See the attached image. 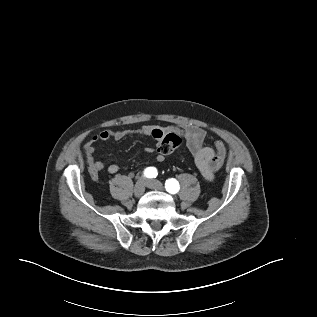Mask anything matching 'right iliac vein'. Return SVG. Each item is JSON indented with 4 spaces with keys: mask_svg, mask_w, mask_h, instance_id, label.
<instances>
[{
    "mask_svg": "<svg viewBox=\"0 0 317 317\" xmlns=\"http://www.w3.org/2000/svg\"><path fill=\"white\" fill-rule=\"evenodd\" d=\"M146 180L140 179L137 181L134 187V194L136 197H140L145 192Z\"/></svg>",
    "mask_w": 317,
    "mask_h": 317,
    "instance_id": "obj_1",
    "label": "right iliac vein"
}]
</instances>
